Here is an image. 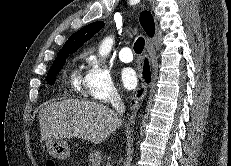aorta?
I'll list each match as a JSON object with an SVG mask.
<instances>
[{
  "instance_id": "762f6f07",
  "label": "aorta",
  "mask_w": 231,
  "mask_h": 166,
  "mask_svg": "<svg viewBox=\"0 0 231 166\" xmlns=\"http://www.w3.org/2000/svg\"><path fill=\"white\" fill-rule=\"evenodd\" d=\"M113 43H114L113 37L105 38L99 47L100 56L106 57L110 53Z\"/></svg>"
}]
</instances>
